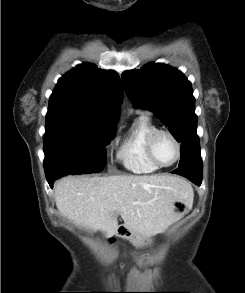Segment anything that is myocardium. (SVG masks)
<instances>
[{"label":"myocardium","mask_w":245,"mask_h":293,"mask_svg":"<svg viewBox=\"0 0 245 293\" xmlns=\"http://www.w3.org/2000/svg\"><path fill=\"white\" fill-rule=\"evenodd\" d=\"M161 135L168 136L172 140V142L176 148V156H175L174 160L169 164L160 163L155 156V152H154L155 141ZM146 152H147V156H148L149 160L154 165H156L159 168H168V167L173 166L179 160L180 155H181V143L179 142L177 137L171 131L166 130V129H157L148 138Z\"/></svg>","instance_id":"1"}]
</instances>
